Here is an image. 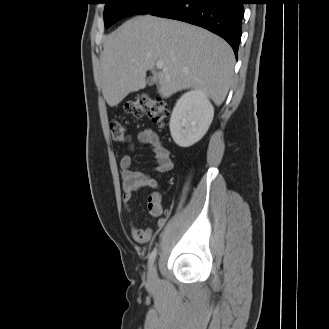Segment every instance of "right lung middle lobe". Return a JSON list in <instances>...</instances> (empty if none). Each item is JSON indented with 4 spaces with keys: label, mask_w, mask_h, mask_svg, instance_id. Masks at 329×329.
Wrapping results in <instances>:
<instances>
[{
    "label": "right lung middle lobe",
    "mask_w": 329,
    "mask_h": 329,
    "mask_svg": "<svg viewBox=\"0 0 329 329\" xmlns=\"http://www.w3.org/2000/svg\"><path fill=\"white\" fill-rule=\"evenodd\" d=\"M172 0H105L104 22L108 28L127 16L150 14Z\"/></svg>",
    "instance_id": "1"
}]
</instances>
